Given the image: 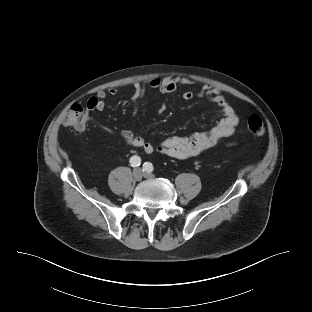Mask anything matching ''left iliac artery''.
Here are the masks:
<instances>
[{
    "instance_id": "obj_1",
    "label": "left iliac artery",
    "mask_w": 312,
    "mask_h": 312,
    "mask_svg": "<svg viewBox=\"0 0 312 312\" xmlns=\"http://www.w3.org/2000/svg\"><path fill=\"white\" fill-rule=\"evenodd\" d=\"M143 171H146L148 173H151L153 171V165L150 162H145L143 164Z\"/></svg>"
}]
</instances>
